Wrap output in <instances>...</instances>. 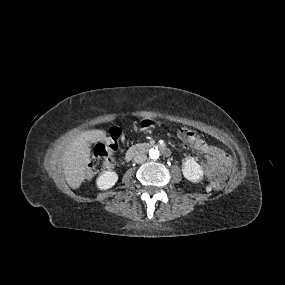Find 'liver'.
Returning a JSON list of instances; mask_svg holds the SVG:
<instances>
[{
  "mask_svg": "<svg viewBox=\"0 0 285 285\" xmlns=\"http://www.w3.org/2000/svg\"><path fill=\"white\" fill-rule=\"evenodd\" d=\"M103 130L81 132L67 147L63 157V173L67 184L78 188L84 180L85 168L88 165L91 149L88 142H98L104 138Z\"/></svg>",
  "mask_w": 285,
  "mask_h": 285,
  "instance_id": "liver-1",
  "label": "liver"
}]
</instances>
